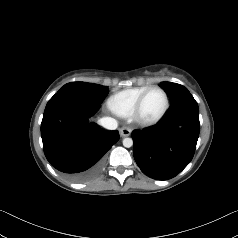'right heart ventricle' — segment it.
<instances>
[{"mask_svg":"<svg viewBox=\"0 0 238 238\" xmlns=\"http://www.w3.org/2000/svg\"><path fill=\"white\" fill-rule=\"evenodd\" d=\"M149 87V85H143L121 90L110 97L108 105L116 114L128 117L131 115L138 98Z\"/></svg>","mask_w":238,"mask_h":238,"instance_id":"obj_1","label":"right heart ventricle"}]
</instances>
